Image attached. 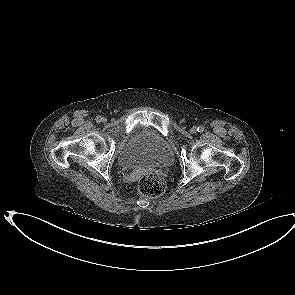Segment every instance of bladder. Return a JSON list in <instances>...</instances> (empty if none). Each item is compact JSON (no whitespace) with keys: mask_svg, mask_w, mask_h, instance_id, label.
<instances>
[{"mask_svg":"<svg viewBox=\"0 0 295 295\" xmlns=\"http://www.w3.org/2000/svg\"><path fill=\"white\" fill-rule=\"evenodd\" d=\"M123 168L140 166L169 167L174 163V151L159 134L143 130L132 136L119 153Z\"/></svg>","mask_w":295,"mask_h":295,"instance_id":"31cf9c89","label":"bladder"}]
</instances>
